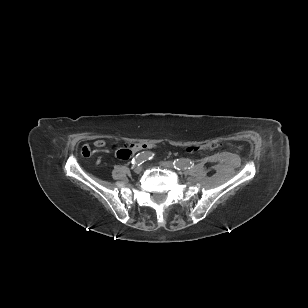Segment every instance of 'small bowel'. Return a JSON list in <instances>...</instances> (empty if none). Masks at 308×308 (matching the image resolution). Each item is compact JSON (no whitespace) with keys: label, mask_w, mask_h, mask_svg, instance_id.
Listing matches in <instances>:
<instances>
[{"label":"small bowel","mask_w":308,"mask_h":308,"mask_svg":"<svg viewBox=\"0 0 308 308\" xmlns=\"http://www.w3.org/2000/svg\"><path fill=\"white\" fill-rule=\"evenodd\" d=\"M135 144H137V143H135ZM105 145H106V143H105V141L104 140H102V139H97V140H95L94 141V146L96 147V148H104L105 147ZM118 150V149H117ZM116 150V151H117ZM137 151H139V150H137Z\"/></svg>","instance_id":"obj_1"}]
</instances>
